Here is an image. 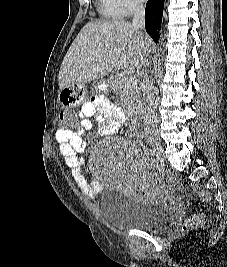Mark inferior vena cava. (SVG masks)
Returning <instances> with one entry per match:
<instances>
[{"mask_svg":"<svg viewBox=\"0 0 227 267\" xmlns=\"http://www.w3.org/2000/svg\"><path fill=\"white\" fill-rule=\"evenodd\" d=\"M133 10L134 15L132 26L134 29L140 30L143 33L145 26V10L140 0H135ZM144 66H149L148 54H146ZM141 91L143 94V119L145 134L146 136H150L152 133L158 134V117L156 113L157 106L154 96V86L150 77L147 75V72L142 79Z\"/></svg>","mask_w":227,"mask_h":267,"instance_id":"inferior-vena-cava-1","label":"inferior vena cava"}]
</instances>
